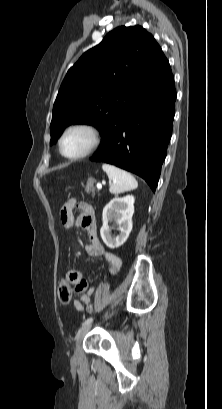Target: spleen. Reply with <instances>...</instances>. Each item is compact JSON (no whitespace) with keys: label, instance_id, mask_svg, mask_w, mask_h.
<instances>
[{"label":"spleen","instance_id":"obj_1","mask_svg":"<svg viewBox=\"0 0 222 409\" xmlns=\"http://www.w3.org/2000/svg\"><path fill=\"white\" fill-rule=\"evenodd\" d=\"M102 169L108 175L109 191L112 194H120L138 187L136 179L127 171L109 164H103Z\"/></svg>","mask_w":222,"mask_h":409}]
</instances>
